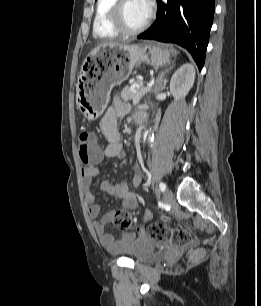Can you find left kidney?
I'll return each instance as SVG.
<instances>
[{"label":"left kidney","mask_w":261,"mask_h":306,"mask_svg":"<svg viewBox=\"0 0 261 306\" xmlns=\"http://www.w3.org/2000/svg\"><path fill=\"white\" fill-rule=\"evenodd\" d=\"M195 81V68L191 63H185L173 74L170 81V91L178 100L185 97Z\"/></svg>","instance_id":"5707ae66"}]
</instances>
